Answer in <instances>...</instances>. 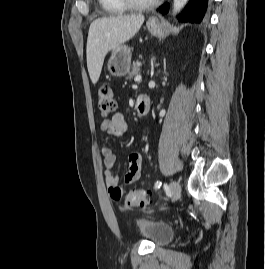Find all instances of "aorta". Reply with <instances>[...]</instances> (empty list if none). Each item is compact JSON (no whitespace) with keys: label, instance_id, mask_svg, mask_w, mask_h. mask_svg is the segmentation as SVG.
<instances>
[{"label":"aorta","instance_id":"762f6f07","mask_svg":"<svg viewBox=\"0 0 265 269\" xmlns=\"http://www.w3.org/2000/svg\"><path fill=\"white\" fill-rule=\"evenodd\" d=\"M188 0H174L173 2V12L174 14L179 13L182 8L186 5Z\"/></svg>","mask_w":265,"mask_h":269}]
</instances>
